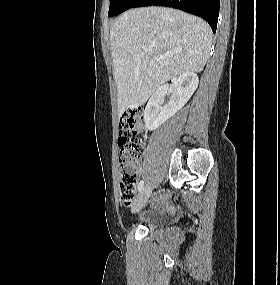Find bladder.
I'll return each instance as SVG.
<instances>
[{
	"label": "bladder",
	"instance_id": "1",
	"mask_svg": "<svg viewBox=\"0 0 280 285\" xmlns=\"http://www.w3.org/2000/svg\"><path fill=\"white\" fill-rule=\"evenodd\" d=\"M169 214L161 213L155 210H147L143 214L137 216V221L150 228H159L166 224L169 220Z\"/></svg>",
	"mask_w": 280,
	"mask_h": 285
}]
</instances>
